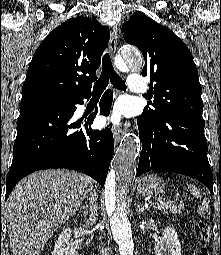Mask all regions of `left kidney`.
I'll use <instances>...</instances> for the list:
<instances>
[{
    "instance_id": "1",
    "label": "left kidney",
    "mask_w": 221,
    "mask_h": 255,
    "mask_svg": "<svg viewBox=\"0 0 221 255\" xmlns=\"http://www.w3.org/2000/svg\"><path fill=\"white\" fill-rule=\"evenodd\" d=\"M156 255H181V244L177 232L172 227L164 229L163 237L155 244Z\"/></svg>"
}]
</instances>
